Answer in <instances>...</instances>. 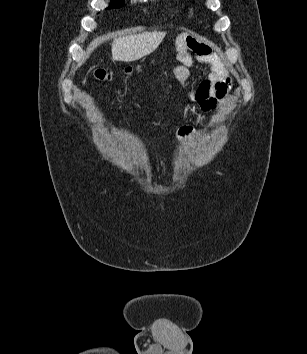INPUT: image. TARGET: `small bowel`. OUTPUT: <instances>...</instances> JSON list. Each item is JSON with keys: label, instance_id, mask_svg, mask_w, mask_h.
Returning a JSON list of instances; mask_svg holds the SVG:
<instances>
[{"label": "small bowel", "instance_id": "small-bowel-1", "mask_svg": "<svg viewBox=\"0 0 307 354\" xmlns=\"http://www.w3.org/2000/svg\"><path fill=\"white\" fill-rule=\"evenodd\" d=\"M176 51L179 65L173 69V77L183 88L185 97L199 103L204 110L212 109L217 100L225 95L228 87L222 62L208 44L193 38L179 40ZM196 63L207 66L210 71L198 88L190 83V68ZM194 135L191 126H181L177 131L178 138L186 141L192 139Z\"/></svg>", "mask_w": 307, "mask_h": 354}]
</instances>
